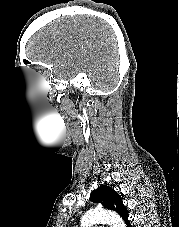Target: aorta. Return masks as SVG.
I'll return each instance as SVG.
<instances>
[{"mask_svg":"<svg viewBox=\"0 0 179 227\" xmlns=\"http://www.w3.org/2000/svg\"><path fill=\"white\" fill-rule=\"evenodd\" d=\"M99 223H110L112 227H126L117 214L104 209L89 210L81 218V227H91Z\"/></svg>","mask_w":179,"mask_h":227,"instance_id":"762f6f07","label":"aorta"}]
</instances>
